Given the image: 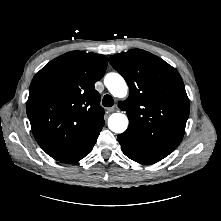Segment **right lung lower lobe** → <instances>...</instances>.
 <instances>
[{"instance_id": "right-lung-lower-lobe-1", "label": "right lung lower lobe", "mask_w": 221, "mask_h": 221, "mask_svg": "<svg viewBox=\"0 0 221 221\" xmlns=\"http://www.w3.org/2000/svg\"><path fill=\"white\" fill-rule=\"evenodd\" d=\"M103 126L104 121L100 122L78 147L53 158L63 163H75L81 160L91 152Z\"/></svg>"}]
</instances>
